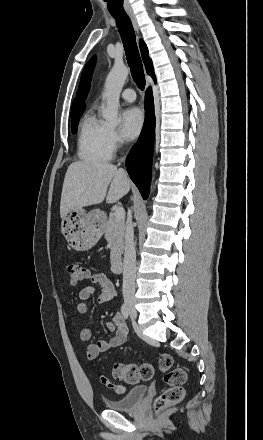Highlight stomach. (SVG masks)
I'll return each instance as SVG.
<instances>
[{"mask_svg":"<svg viewBox=\"0 0 263 440\" xmlns=\"http://www.w3.org/2000/svg\"><path fill=\"white\" fill-rule=\"evenodd\" d=\"M61 228L70 246L77 251L91 249L101 238L105 230V221L97 210L86 212L84 209H72L62 218Z\"/></svg>","mask_w":263,"mask_h":440,"instance_id":"obj_1","label":"stomach"}]
</instances>
